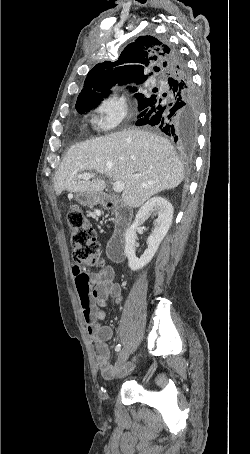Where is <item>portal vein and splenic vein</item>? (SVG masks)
I'll list each match as a JSON object with an SVG mask.
<instances>
[{
	"instance_id": "18ae733b",
	"label": "portal vein and splenic vein",
	"mask_w": 250,
	"mask_h": 454,
	"mask_svg": "<svg viewBox=\"0 0 250 454\" xmlns=\"http://www.w3.org/2000/svg\"><path fill=\"white\" fill-rule=\"evenodd\" d=\"M93 176H94L93 173H82V174L77 175L78 178L85 179V180H88V179L92 178ZM124 187H125V184L121 181H117L113 184V190L116 193L122 192L124 190Z\"/></svg>"
}]
</instances>
